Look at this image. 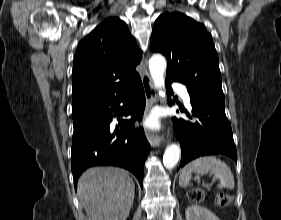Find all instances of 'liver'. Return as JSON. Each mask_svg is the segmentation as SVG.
Listing matches in <instances>:
<instances>
[{
	"instance_id": "obj_1",
	"label": "liver",
	"mask_w": 281,
	"mask_h": 220,
	"mask_svg": "<svg viewBox=\"0 0 281 220\" xmlns=\"http://www.w3.org/2000/svg\"><path fill=\"white\" fill-rule=\"evenodd\" d=\"M134 193L128 172L115 167L89 168L78 180L77 195L88 220H126Z\"/></svg>"
}]
</instances>
